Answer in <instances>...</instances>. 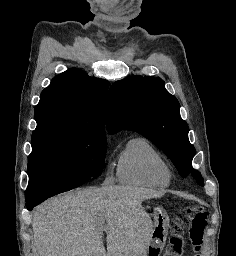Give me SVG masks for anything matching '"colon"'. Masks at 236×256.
Here are the masks:
<instances>
[{"label":"colon","mask_w":236,"mask_h":256,"mask_svg":"<svg viewBox=\"0 0 236 256\" xmlns=\"http://www.w3.org/2000/svg\"><path fill=\"white\" fill-rule=\"evenodd\" d=\"M183 214L185 218L190 221L188 236L192 249L196 256H200L204 232L207 227V209L204 205L197 204L186 208ZM185 246L186 242L180 230V225L176 222L174 232L169 239V247L166 251V256H183Z\"/></svg>","instance_id":"5ec220e1"}]
</instances>
